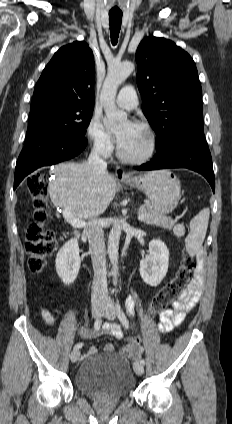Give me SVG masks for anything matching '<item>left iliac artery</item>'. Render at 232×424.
Instances as JSON below:
<instances>
[{
	"mask_svg": "<svg viewBox=\"0 0 232 424\" xmlns=\"http://www.w3.org/2000/svg\"><path fill=\"white\" fill-rule=\"evenodd\" d=\"M116 311H117L118 318H119L120 322L122 323V325L124 327H126V328H129V321H128L127 317L125 316V314H124V312H123V310H122V308H121V306L119 304L118 299L116 301ZM127 312L129 313V315H133V313H134V306H133V304H128L127 305ZM140 363L143 364V365H145V360L144 359H141L140 360Z\"/></svg>",
	"mask_w": 232,
	"mask_h": 424,
	"instance_id": "44dca946",
	"label": "left iliac artery"
}]
</instances>
